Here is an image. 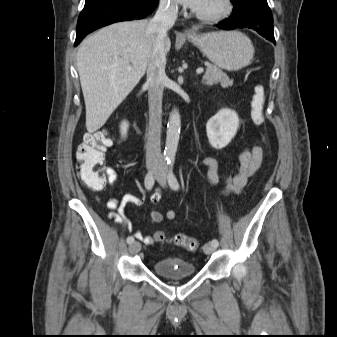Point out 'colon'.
Listing matches in <instances>:
<instances>
[{"label":"colon","mask_w":337,"mask_h":337,"mask_svg":"<svg viewBox=\"0 0 337 337\" xmlns=\"http://www.w3.org/2000/svg\"><path fill=\"white\" fill-rule=\"evenodd\" d=\"M265 89L263 85L256 84L253 89L251 101L252 119L256 124L264 123ZM112 145V138L106 132L86 133L76 151L77 169L81 179L91 189H102L107 183L104 162L105 152ZM156 241L166 242L180 246L188 251H195L199 242L196 238L183 233H177L167 238L163 231L154 234Z\"/></svg>","instance_id":"1"}]
</instances>
